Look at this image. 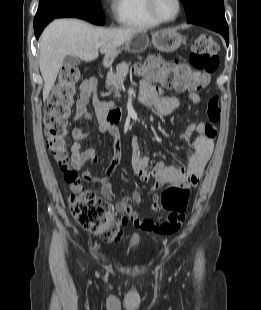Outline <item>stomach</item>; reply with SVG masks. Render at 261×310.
Wrapping results in <instances>:
<instances>
[{
  "mask_svg": "<svg viewBox=\"0 0 261 310\" xmlns=\"http://www.w3.org/2000/svg\"><path fill=\"white\" fill-rule=\"evenodd\" d=\"M184 41L185 38L174 29L161 30L152 35L153 46L157 50L163 52H173L177 50ZM148 45L149 39L147 35L145 33H137L125 43V49L132 53H140L145 50Z\"/></svg>",
  "mask_w": 261,
  "mask_h": 310,
  "instance_id": "stomach-1",
  "label": "stomach"
}]
</instances>
